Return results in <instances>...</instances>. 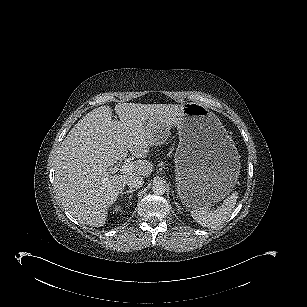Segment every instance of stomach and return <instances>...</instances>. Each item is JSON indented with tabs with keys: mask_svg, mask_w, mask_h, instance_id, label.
Listing matches in <instances>:
<instances>
[{
	"mask_svg": "<svg viewBox=\"0 0 307 307\" xmlns=\"http://www.w3.org/2000/svg\"><path fill=\"white\" fill-rule=\"evenodd\" d=\"M175 125L179 146L175 153V185L188 207L212 206L233 189L240 171L238 151L219 118L200 103L180 105L172 115L151 117L155 144H161Z\"/></svg>",
	"mask_w": 307,
	"mask_h": 307,
	"instance_id": "obj_1",
	"label": "stomach"
}]
</instances>
